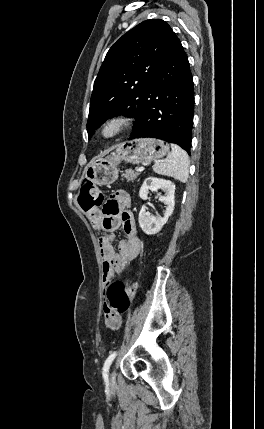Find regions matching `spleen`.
<instances>
[{"instance_id":"spleen-1","label":"spleen","mask_w":264,"mask_h":429,"mask_svg":"<svg viewBox=\"0 0 264 429\" xmlns=\"http://www.w3.org/2000/svg\"><path fill=\"white\" fill-rule=\"evenodd\" d=\"M171 153L160 163L153 165V171L157 174L172 177L185 183L189 175V157L180 146L171 144Z\"/></svg>"}]
</instances>
